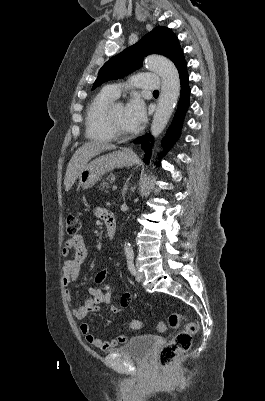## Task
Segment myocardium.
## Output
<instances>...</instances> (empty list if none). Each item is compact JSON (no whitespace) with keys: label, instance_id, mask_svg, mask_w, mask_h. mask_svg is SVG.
<instances>
[{"label":"myocardium","instance_id":"myocardium-1","mask_svg":"<svg viewBox=\"0 0 265 401\" xmlns=\"http://www.w3.org/2000/svg\"><path fill=\"white\" fill-rule=\"evenodd\" d=\"M115 106H116V104L113 103L109 107V109H108V111L106 113L105 119H104V124H105L107 130L109 131V133L111 134L112 138L127 139V138L130 137V134L121 135V134L118 133V131H117L116 127H115V124H114V121H113V115H114Z\"/></svg>","mask_w":265,"mask_h":401}]
</instances>
